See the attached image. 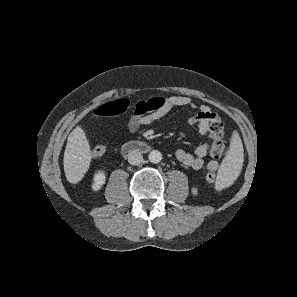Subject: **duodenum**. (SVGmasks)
Instances as JSON below:
<instances>
[{"label": "duodenum", "instance_id": "duodenum-1", "mask_svg": "<svg viewBox=\"0 0 297 297\" xmlns=\"http://www.w3.org/2000/svg\"><path fill=\"white\" fill-rule=\"evenodd\" d=\"M149 149L148 145L140 140L129 141L123 144L122 146V154L124 156H131L136 153H145Z\"/></svg>", "mask_w": 297, "mask_h": 297}]
</instances>
